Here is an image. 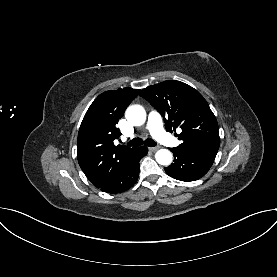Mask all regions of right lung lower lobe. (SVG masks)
Masks as SVG:
<instances>
[{"mask_svg":"<svg viewBox=\"0 0 277 277\" xmlns=\"http://www.w3.org/2000/svg\"><path fill=\"white\" fill-rule=\"evenodd\" d=\"M147 152L146 147H138L124 167L99 189L110 194L121 193L130 189L139 176V161Z\"/></svg>","mask_w":277,"mask_h":277,"instance_id":"98d812e1","label":"right lung lower lobe"}]
</instances>
